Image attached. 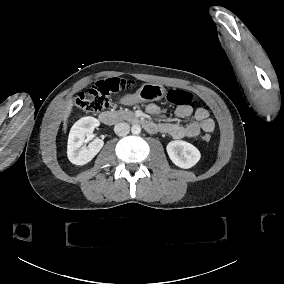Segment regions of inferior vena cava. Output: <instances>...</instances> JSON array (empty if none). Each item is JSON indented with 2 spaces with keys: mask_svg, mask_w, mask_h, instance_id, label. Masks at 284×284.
I'll return each mask as SVG.
<instances>
[{
  "mask_svg": "<svg viewBox=\"0 0 284 284\" xmlns=\"http://www.w3.org/2000/svg\"><path fill=\"white\" fill-rule=\"evenodd\" d=\"M130 131L128 123L120 122L114 126V132L119 136H126Z\"/></svg>",
  "mask_w": 284,
  "mask_h": 284,
  "instance_id": "obj_1",
  "label": "inferior vena cava"
}]
</instances>
